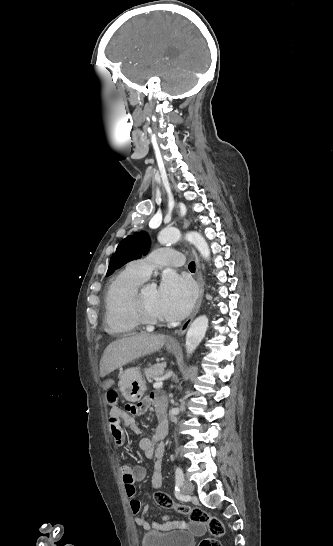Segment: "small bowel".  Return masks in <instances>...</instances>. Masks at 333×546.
<instances>
[{"instance_id": "c3829d8e", "label": "small bowel", "mask_w": 333, "mask_h": 546, "mask_svg": "<svg viewBox=\"0 0 333 546\" xmlns=\"http://www.w3.org/2000/svg\"><path fill=\"white\" fill-rule=\"evenodd\" d=\"M104 386L107 389H112L116 386V381L112 378H107L104 381ZM151 406H154L156 409L159 418V424L154 435L151 438H142L139 442V446L147 458L153 459L150 483L153 488H159L163 484L162 458L165 451V445L162 440L164 439L168 431V422L166 419V399L162 394L151 393L138 404L128 407V410L131 411V413L134 415H141L145 413ZM121 422L128 426L134 433L141 432L140 427L130 414L118 407L112 408L108 416V425L110 434L118 446H122L124 443V433L121 428ZM120 472L122 475L126 494L129 498H131L130 508L132 513L135 515L141 513L140 516H137L135 518L136 525L142 527L146 531L149 530L152 525L156 530L160 532H166L181 527L184 524L183 521L170 520L169 516L167 515L163 516V523L150 524L147 520V515L150 512V507L148 505L141 507V503L138 500L134 499L136 493L135 483L143 480L146 475L144 467L123 464L120 467ZM198 527V525H194L192 528L196 530Z\"/></svg>"}]
</instances>
